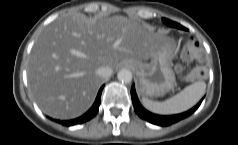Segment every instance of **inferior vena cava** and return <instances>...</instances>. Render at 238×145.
<instances>
[{
	"instance_id": "inferior-vena-cava-1",
	"label": "inferior vena cava",
	"mask_w": 238,
	"mask_h": 145,
	"mask_svg": "<svg viewBox=\"0 0 238 145\" xmlns=\"http://www.w3.org/2000/svg\"><path fill=\"white\" fill-rule=\"evenodd\" d=\"M96 73L98 76L104 78V79H107L109 78L111 75H112V69L110 67H99L97 70H96Z\"/></svg>"
}]
</instances>
